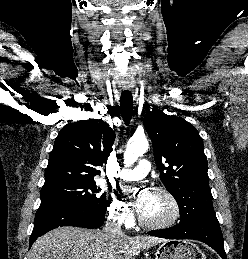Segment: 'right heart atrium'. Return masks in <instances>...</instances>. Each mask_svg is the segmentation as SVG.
<instances>
[{
  "instance_id": "right-heart-atrium-1",
  "label": "right heart atrium",
  "mask_w": 248,
  "mask_h": 259,
  "mask_svg": "<svg viewBox=\"0 0 248 259\" xmlns=\"http://www.w3.org/2000/svg\"><path fill=\"white\" fill-rule=\"evenodd\" d=\"M108 211L110 218L119 225H129L133 220L129 205L117 195L112 196Z\"/></svg>"
}]
</instances>
